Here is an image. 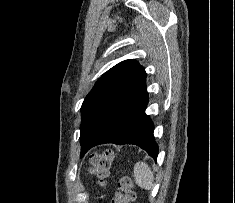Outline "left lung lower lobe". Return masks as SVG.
<instances>
[{
    "label": "left lung lower lobe",
    "mask_w": 235,
    "mask_h": 203,
    "mask_svg": "<svg viewBox=\"0 0 235 203\" xmlns=\"http://www.w3.org/2000/svg\"><path fill=\"white\" fill-rule=\"evenodd\" d=\"M147 103L148 93L144 80L89 147L105 143L133 144L145 150L149 156L156 160L158 145L153 136L154 125L149 116L145 114Z\"/></svg>",
    "instance_id": "1"
}]
</instances>
